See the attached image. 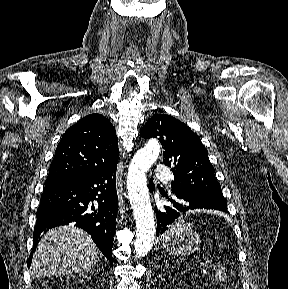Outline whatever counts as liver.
<instances>
[{"instance_id":"1","label":"liver","mask_w":288,"mask_h":289,"mask_svg":"<svg viewBox=\"0 0 288 289\" xmlns=\"http://www.w3.org/2000/svg\"><path fill=\"white\" fill-rule=\"evenodd\" d=\"M102 257L89 236L81 229L59 226L42 237L31 264L36 277L79 273L92 269Z\"/></svg>"}]
</instances>
